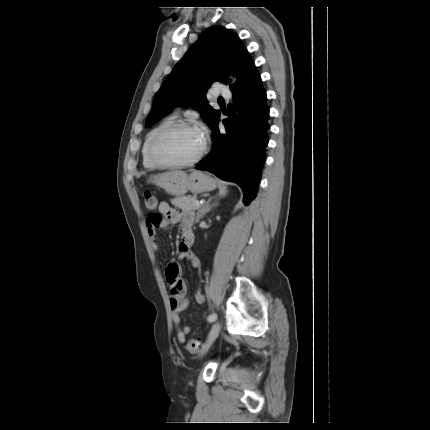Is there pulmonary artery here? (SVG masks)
<instances>
[{
  "mask_svg": "<svg viewBox=\"0 0 430 430\" xmlns=\"http://www.w3.org/2000/svg\"><path fill=\"white\" fill-rule=\"evenodd\" d=\"M216 95H221L225 98H229L231 96V93L229 91V89L225 86H220L216 91H215Z\"/></svg>",
  "mask_w": 430,
  "mask_h": 430,
  "instance_id": "e3ab8cb5",
  "label": "pulmonary artery"
}]
</instances>
